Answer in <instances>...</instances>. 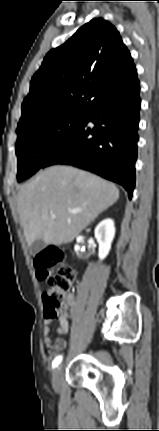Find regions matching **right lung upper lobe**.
I'll list each match as a JSON object with an SVG mask.
<instances>
[{
	"label": "right lung upper lobe",
	"instance_id": "obj_1",
	"mask_svg": "<svg viewBox=\"0 0 159 431\" xmlns=\"http://www.w3.org/2000/svg\"><path fill=\"white\" fill-rule=\"evenodd\" d=\"M136 79L119 32L102 18L93 19L47 53L32 77L17 130L61 112L88 113Z\"/></svg>",
	"mask_w": 159,
	"mask_h": 431
}]
</instances>
